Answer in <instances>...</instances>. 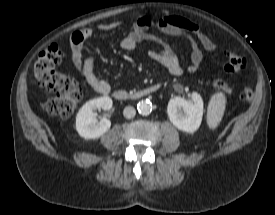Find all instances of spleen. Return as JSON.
<instances>
[{"mask_svg": "<svg viewBox=\"0 0 275 215\" xmlns=\"http://www.w3.org/2000/svg\"><path fill=\"white\" fill-rule=\"evenodd\" d=\"M226 99L223 93L215 94L208 107V124L211 128H215L220 122L225 110Z\"/></svg>", "mask_w": 275, "mask_h": 215, "instance_id": "3e777b00", "label": "spleen"}]
</instances>
